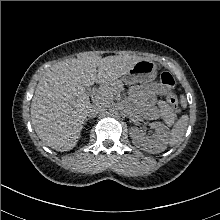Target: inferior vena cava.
Here are the masks:
<instances>
[{
	"label": "inferior vena cava",
	"mask_w": 220,
	"mask_h": 220,
	"mask_svg": "<svg viewBox=\"0 0 220 220\" xmlns=\"http://www.w3.org/2000/svg\"><path fill=\"white\" fill-rule=\"evenodd\" d=\"M103 110H104V105H102L100 103L92 104L91 108L88 111V116L95 117L97 114H99Z\"/></svg>",
	"instance_id": "1"
}]
</instances>
